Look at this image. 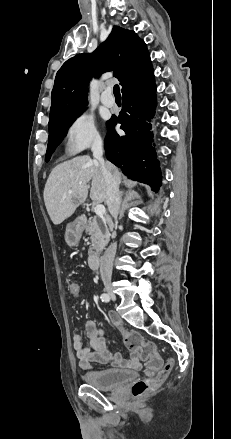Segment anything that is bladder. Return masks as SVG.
I'll return each instance as SVG.
<instances>
[{
    "instance_id": "bladder-1",
    "label": "bladder",
    "mask_w": 231,
    "mask_h": 439,
    "mask_svg": "<svg viewBox=\"0 0 231 439\" xmlns=\"http://www.w3.org/2000/svg\"><path fill=\"white\" fill-rule=\"evenodd\" d=\"M137 373L129 370L107 369L87 371L82 375L83 381L100 390H113L133 380Z\"/></svg>"
}]
</instances>
